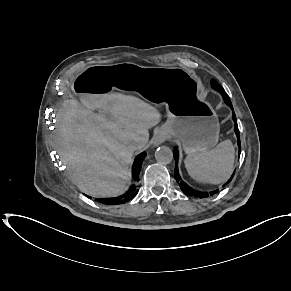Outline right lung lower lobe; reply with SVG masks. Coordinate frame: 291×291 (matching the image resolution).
Here are the masks:
<instances>
[{
	"mask_svg": "<svg viewBox=\"0 0 291 291\" xmlns=\"http://www.w3.org/2000/svg\"><path fill=\"white\" fill-rule=\"evenodd\" d=\"M145 156H146V153L143 152L136 157L134 164H133V167H132L133 183L126 193H124L123 195H120L118 197L96 198L95 200L98 202H101L103 204H106V205H119V204H124V203L132 200L136 196V194L138 193L137 182L139 181V173H140L142 162H143Z\"/></svg>",
	"mask_w": 291,
	"mask_h": 291,
	"instance_id": "1",
	"label": "right lung lower lobe"
}]
</instances>
